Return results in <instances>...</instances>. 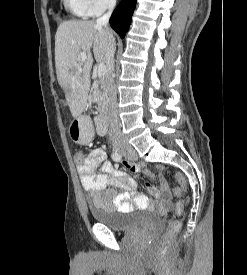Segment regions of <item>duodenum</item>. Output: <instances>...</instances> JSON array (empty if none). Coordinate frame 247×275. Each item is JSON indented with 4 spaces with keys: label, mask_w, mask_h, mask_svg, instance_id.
Segmentation results:
<instances>
[{
    "label": "duodenum",
    "mask_w": 247,
    "mask_h": 275,
    "mask_svg": "<svg viewBox=\"0 0 247 275\" xmlns=\"http://www.w3.org/2000/svg\"><path fill=\"white\" fill-rule=\"evenodd\" d=\"M107 117L105 115L97 116L95 119V127L99 136H104L107 133Z\"/></svg>",
    "instance_id": "1"
}]
</instances>
